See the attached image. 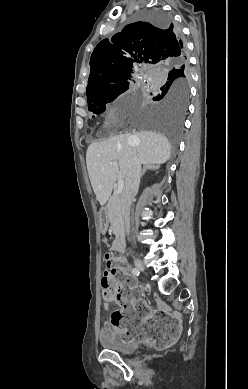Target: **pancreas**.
I'll return each instance as SVG.
<instances>
[{
    "label": "pancreas",
    "instance_id": "obj_1",
    "mask_svg": "<svg viewBox=\"0 0 248 389\" xmlns=\"http://www.w3.org/2000/svg\"><path fill=\"white\" fill-rule=\"evenodd\" d=\"M119 200L120 198L118 196L113 195L106 205V219L111 224L110 229L116 238H120L124 230L120 214Z\"/></svg>",
    "mask_w": 248,
    "mask_h": 389
}]
</instances>
